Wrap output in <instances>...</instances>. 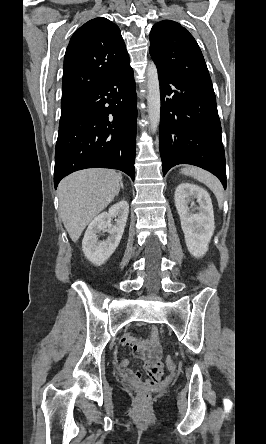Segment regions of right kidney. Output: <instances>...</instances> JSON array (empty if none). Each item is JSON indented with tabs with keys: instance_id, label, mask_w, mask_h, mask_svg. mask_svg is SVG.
Listing matches in <instances>:
<instances>
[{
	"instance_id": "ca27d5eb",
	"label": "right kidney",
	"mask_w": 266,
	"mask_h": 444,
	"mask_svg": "<svg viewBox=\"0 0 266 444\" xmlns=\"http://www.w3.org/2000/svg\"><path fill=\"white\" fill-rule=\"evenodd\" d=\"M129 213L127 201L122 200L103 212L89 224L83 241L82 249L86 258L93 264L102 265L116 250L122 238ZM116 218V224L112 226L111 218ZM106 231L110 236L103 241L99 240V233Z\"/></svg>"
}]
</instances>
